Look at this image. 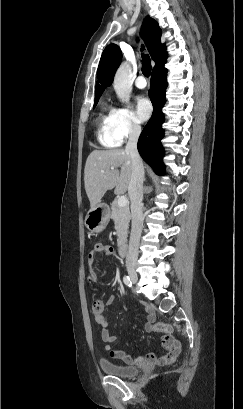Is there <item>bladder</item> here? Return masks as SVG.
<instances>
[{
    "mask_svg": "<svg viewBox=\"0 0 243 409\" xmlns=\"http://www.w3.org/2000/svg\"><path fill=\"white\" fill-rule=\"evenodd\" d=\"M98 365L107 375L120 378L134 377L141 371V369L136 365L124 366L111 361H100Z\"/></svg>",
    "mask_w": 243,
    "mask_h": 409,
    "instance_id": "bladder-1",
    "label": "bladder"
}]
</instances>
